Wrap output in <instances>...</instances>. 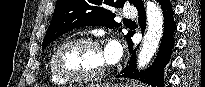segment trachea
Returning a JSON list of instances; mask_svg holds the SVG:
<instances>
[{"mask_svg": "<svg viewBox=\"0 0 205 87\" xmlns=\"http://www.w3.org/2000/svg\"><path fill=\"white\" fill-rule=\"evenodd\" d=\"M126 22H131V20H126Z\"/></svg>", "mask_w": 205, "mask_h": 87, "instance_id": "1", "label": "trachea"}]
</instances>
